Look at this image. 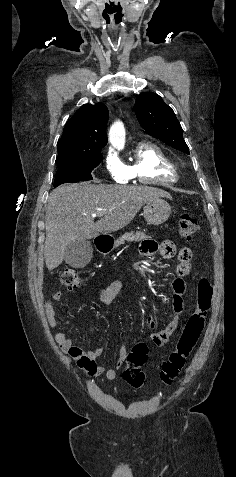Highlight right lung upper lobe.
Segmentation results:
<instances>
[{
  "instance_id": "right-lung-upper-lobe-1",
  "label": "right lung upper lobe",
  "mask_w": 236,
  "mask_h": 477,
  "mask_svg": "<svg viewBox=\"0 0 236 477\" xmlns=\"http://www.w3.org/2000/svg\"><path fill=\"white\" fill-rule=\"evenodd\" d=\"M108 117V109L102 103L81 106L65 125L57 143L56 161L101 150L107 144Z\"/></svg>"
}]
</instances>
